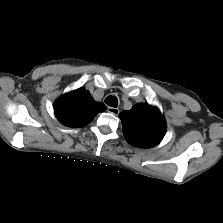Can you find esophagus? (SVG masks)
<instances>
[{"label": "esophagus", "mask_w": 223, "mask_h": 223, "mask_svg": "<svg viewBox=\"0 0 223 223\" xmlns=\"http://www.w3.org/2000/svg\"><path fill=\"white\" fill-rule=\"evenodd\" d=\"M107 111L113 115H118L119 114V109L115 107H108Z\"/></svg>", "instance_id": "1"}]
</instances>
